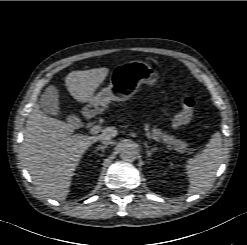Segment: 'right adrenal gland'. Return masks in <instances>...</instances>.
<instances>
[{"instance_id":"1","label":"right adrenal gland","mask_w":247,"mask_h":245,"mask_svg":"<svg viewBox=\"0 0 247 245\" xmlns=\"http://www.w3.org/2000/svg\"><path fill=\"white\" fill-rule=\"evenodd\" d=\"M107 147V145H99L98 147H97V150L96 151H98V150H101V152L103 153L104 152V149Z\"/></svg>"}]
</instances>
